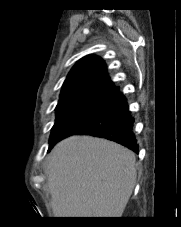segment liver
Segmentation results:
<instances>
[{"label":"liver","mask_w":181,"mask_h":227,"mask_svg":"<svg viewBox=\"0 0 181 227\" xmlns=\"http://www.w3.org/2000/svg\"><path fill=\"white\" fill-rule=\"evenodd\" d=\"M136 156L91 136L59 142L46 168L55 217H121L136 183Z\"/></svg>","instance_id":"obj_1"}]
</instances>
